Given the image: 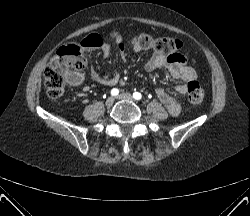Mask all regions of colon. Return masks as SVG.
I'll return each instance as SVG.
<instances>
[{"mask_svg": "<svg viewBox=\"0 0 250 216\" xmlns=\"http://www.w3.org/2000/svg\"><path fill=\"white\" fill-rule=\"evenodd\" d=\"M141 49H152L163 54H175L183 47V43L172 37L154 38L148 34H141L135 39ZM86 66L80 48L77 45H65L57 50L49 61L44 71V84L50 98H60L66 88L70 77L78 73ZM187 97L189 102L198 106L204 98V91L199 83L191 80L187 84Z\"/></svg>", "mask_w": 250, "mask_h": 216, "instance_id": "colon-1", "label": "colon"}]
</instances>
